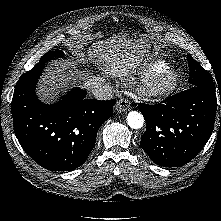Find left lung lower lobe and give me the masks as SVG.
I'll return each mask as SVG.
<instances>
[{
    "label": "left lung lower lobe",
    "mask_w": 221,
    "mask_h": 221,
    "mask_svg": "<svg viewBox=\"0 0 221 221\" xmlns=\"http://www.w3.org/2000/svg\"><path fill=\"white\" fill-rule=\"evenodd\" d=\"M221 103V100H220ZM146 119L140 146L160 166L190 162L209 140L216 116V93L193 86L162 104H138Z\"/></svg>",
    "instance_id": "obj_1"
}]
</instances>
